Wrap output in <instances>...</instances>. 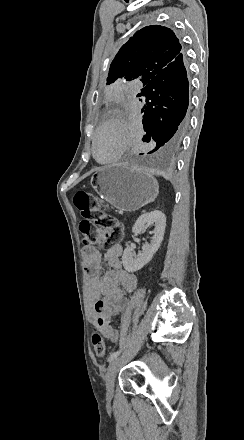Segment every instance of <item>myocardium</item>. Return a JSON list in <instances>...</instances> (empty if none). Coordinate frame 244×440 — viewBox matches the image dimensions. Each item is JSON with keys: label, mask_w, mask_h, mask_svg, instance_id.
Instances as JSON below:
<instances>
[{"label": "myocardium", "mask_w": 244, "mask_h": 440, "mask_svg": "<svg viewBox=\"0 0 244 440\" xmlns=\"http://www.w3.org/2000/svg\"><path fill=\"white\" fill-rule=\"evenodd\" d=\"M116 114H112L109 120L110 122H104L103 126H100L92 136V156L95 159V161L102 165H112L115 164L117 161L121 159L122 156V145H123V125L121 123V120L124 121L127 117V114L125 112H121L120 110L115 112ZM121 123V124H118ZM111 129V132L114 135V141H113V151L112 155L108 157L106 160H100L97 157L96 154V141L99 133L103 130Z\"/></svg>", "instance_id": "obj_1"}]
</instances>
